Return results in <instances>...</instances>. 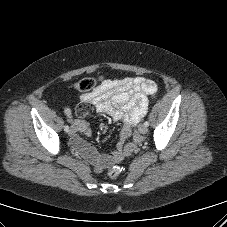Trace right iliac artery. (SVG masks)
I'll use <instances>...</instances> for the list:
<instances>
[{
  "label": "right iliac artery",
  "instance_id": "82829eb1",
  "mask_svg": "<svg viewBox=\"0 0 227 227\" xmlns=\"http://www.w3.org/2000/svg\"><path fill=\"white\" fill-rule=\"evenodd\" d=\"M64 131H65V132H68V131H69V126H68V125H65V126H64Z\"/></svg>",
  "mask_w": 227,
  "mask_h": 227
}]
</instances>
